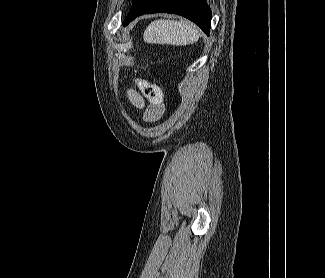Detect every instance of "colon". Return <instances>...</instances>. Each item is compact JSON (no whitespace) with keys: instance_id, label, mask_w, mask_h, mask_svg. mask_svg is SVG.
I'll return each mask as SVG.
<instances>
[{"instance_id":"obj_1","label":"colon","mask_w":325,"mask_h":278,"mask_svg":"<svg viewBox=\"0 0 325 278\" xmlns=\"http://www.w3.org/2000/svg\"><path fill=\"white\" fill-rule=\"evenodd\" d=\"M139 86L144 96L150 101V103L156 107H163V97L160 88L153 83L146 80H140Z\"/></svg>"}]
</instances>
